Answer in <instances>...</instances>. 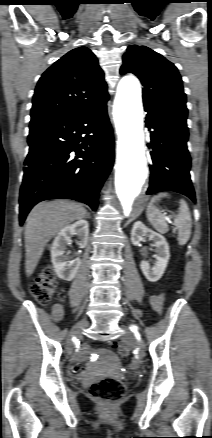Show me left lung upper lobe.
I'll return each mask as SVG.
<instances>
[{"mask_svg": "<svg viewBox=\"0 0 212 438\" xmlns=\"http://www.w3.org/2000/svg\"><path fill=\"white\" fill-rule=\"evenodd\" d=\"M127 50L120 73H133L141 80L144 106L187 118L182 79L174 64L146 46L131 45Z\"/></svg>", "mask_w": 212, "mask_h": 438, "instance_id": "5c2ea615", "label": "left lung upper lobe"}]
</instances>
